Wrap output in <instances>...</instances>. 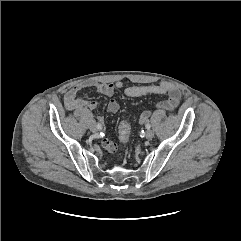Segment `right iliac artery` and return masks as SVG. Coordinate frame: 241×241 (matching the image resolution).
<instances>
[{
    "instance_id": "1",
    "label": "right iliac artery",
    "mask_w": 241,
    "mask_h": 241,
    "mask_svg": "<svg viewBox=\"0 0 241 241\" xmlns=\"http://www.w3.org/2000/svg\"><path fill=\"white\" fill-rule=\"evenodd\" d=\"M97 128H98L99 130H101V129H102V125H101L100 123H97Z\"/></svg>"
}]
</instances>
